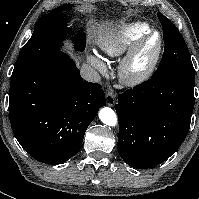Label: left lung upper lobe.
<instances>
[{
  "label": "left lung upper lobe",
  "instance_id": "left-lung-upper-lobe-1",
  "mask_svg": "<svg viewBox=\"0 0 199 199\" xmlns=\"http://www.w3.org/2000/svg\"><path fill=\"white\" fill-rule=\"evenodd\" d=\"M163 28L164 53L154 78L169 74L195 76V70L187 45L177 27L164 15L158 13Z\"/></svg>",
  "mask_w": 199,
  "mask_h": 199
}]
</instances>
